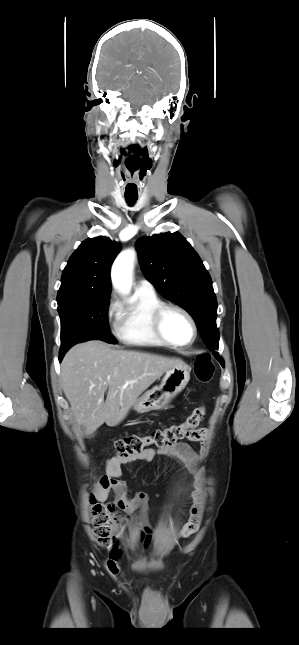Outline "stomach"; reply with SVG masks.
<instances>
[{
    "label": "stomach",
    "mask_w": 299,
    "mask_h": 645,
    "mask_svg": "<svg viewBox=\"0 0 299 645\" xmlns=\"http://www.w3.org/2000/svg\"><path fill=\"white\" fill-rule=\"evenodd\" d=\"M189 380L190 367L183 362L176 364L166 372L160 385L154 386L137 399L133 409L138 413H147L167 408Z\"/></svg>",
    "instance_id": "obj_1"
}]
</instances>
